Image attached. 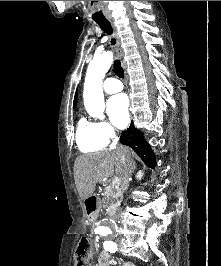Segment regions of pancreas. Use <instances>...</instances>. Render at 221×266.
I'll return each instance as SVG.
<instances>
[{
  "label": "pancreas",
  "mask_w": 221,
  "mask_h": 266,
  "mask_svg": "<svg viewBox=\"0 0 221 266\" xmlns=\"http://www.w3.org/2000/svg\"><path fill=\"white\" fill-rule=\"evenodd\" d=\"M105 199L108 201V205H110V209H115L119 204V197L121 196L120 189L111 186L104 191Z\"/></svg>",
  "instance_id": "1"
}]
</instances>
